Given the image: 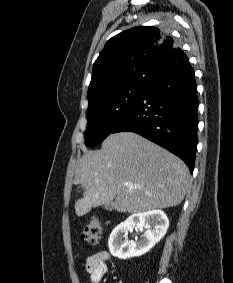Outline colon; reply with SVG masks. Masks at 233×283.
<instances>
[{"mask_svg":"<svg viewBox=\"0 0 233 283\" xmlns=\"http://www.w3.org/2000/svg\"><path fill=\"white\" fill-rule=\"evenodd\" d=\"M102 233V224L99 219L92 218L84 227L81 233V240L87 245L96 244Z\"/></svg>","mask_w":233,"mask_h":283,"instance_id":"obj_1","label":"colon"}]
</instances>
